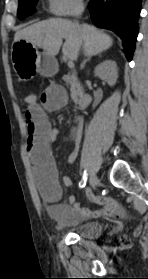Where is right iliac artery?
<instances>
[{"mask_svg": "<svg viewBox=\"0 0 148 279\" xmlns=\"http://www.w3.org/2000/svg\"><path fill=\"white\" fill-rule=\"evenodd\" d=\"M87 182V174L84 172L83 178L79 183V188H84Z\"/></svg>", "mask_w": 148, "mask_h": 279, "instance_id": "1", "label": "right iliac artery"}]
</instances>
